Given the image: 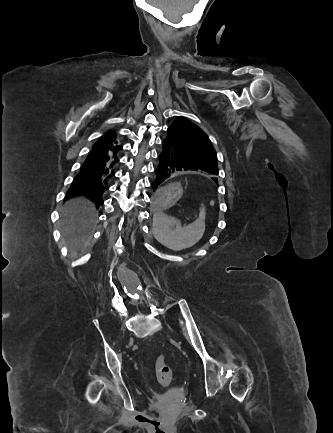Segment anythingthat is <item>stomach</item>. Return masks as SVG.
I'll use <instances>...</instances> for the list:
<instances>
[{"label":"stomach","instance_id":"obj_1","mask_svg":"<svg viewBox=\"0 0 333 433\" xmlns=\"http://www.w3.org/2000/svg\"><path fill=\"white\" fill-rule=\"evenodd\" d=\"M182 196V188L178 183H164L163 186H160L157 192V201H153L151 203V208L153 210H161V212H165V210H171L173 208V204L181 199Z\"/></svg>","mask_w":333,"mask_h":433}]
</instances>
